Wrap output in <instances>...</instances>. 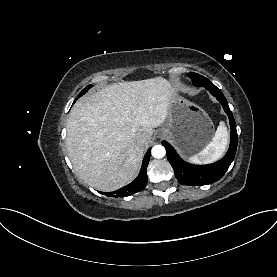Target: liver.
I'll return each mask as SVG.
<instances>
[{"label":"liver","instance_id":"obj_1","mask_svg":"<svg viewBox=\"0 0 277 277\" xmlns=\"http://www.w3.org/2000/svg\"><path fill=\"white\" fill-rule=\"evenodd\" d=\"M177 94L162 78L119 82L80 98L67 121L66 146L76 174L100 191H114L137 175L153 128L167 118ZM144 132L140 145L135 135Z\"/></svg>","mask_w":277,"mask_h":277}]
</instances>
